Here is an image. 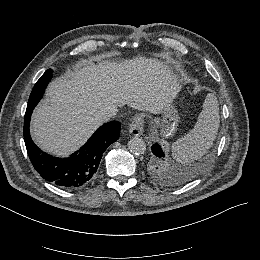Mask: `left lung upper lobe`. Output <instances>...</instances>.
Segmentation results:
<instances>
[{
  "label": "left lung upper lobe",
  "instance_id": "5c2ea615",
  "mask_svg": "<svg viewBox=\"0 0 260 260\" xmlns=\"http://www.w3.org/2000/svg\"><path fill=\"white\" fill-rule=\"evenodd\" d=\"M148 162V172L154 179L167 185L179 183V177L173 171L165 169L161 164L159 157H156L153 152L150 155Z\"/></svg>",
  "mask_w": 260,
  "mask_h": 260
}]
</instances>
